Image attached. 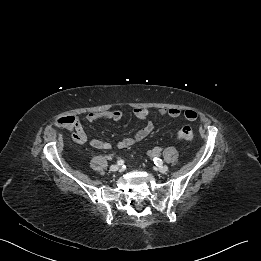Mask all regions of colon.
<instances>
[{
    "label": "colon",
    "instance_id": "colon-1",
    "mask_svg": "<svg viewBox=\"0 0 261 261\" xmlns=\"http://www.w3.org/2000/svg\"><path fill=\"white\" fill-rule=\"evenodd\" d=\"M74 122L73 116H61L57 118L56 123L61 126H70ZM177 137L182 141H191L194 137L193 130L190 126H184L177 132Z\"/></svg>",
    "mask_w": 261,
    "mask_h": 261
}]
</instances>
